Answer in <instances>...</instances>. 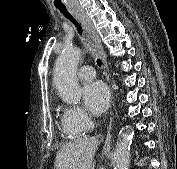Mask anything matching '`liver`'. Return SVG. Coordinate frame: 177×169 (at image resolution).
<instances>
[{"label":"liver","mask_w":177,"mask_h":169,"mask_svg":"<svg viewBox=\"0 0 177 169\" xmlns=\"http://www.w3.org/2000/svg\"><path fill=\"white\" fill-rule=\"evenodd\" d=\"M99 141L86 137L69 142L57 153L54 169H94L93 158Z\"/></svg>","instance_id":"obj_1"}]
</instances>
